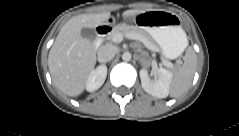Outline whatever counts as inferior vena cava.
<instances>
[{
	"instance_id": "1",
	"label": "inferior vena cava",
	"mask_w": 239,
	"mask_h": 136,
	"mask_svg": "<svg viewBox=\"0 0 239 136\" xmlns=\"http://www.w3.org/2000/svg\"><path fill=\"white\" fill-rule=\"evenodd\" d=\"M117 52L118 49L116 46L112 44H105L101 46L98 50V60L101 63L109 62L114 58Z\"/></svg>"
}]
</instances>
